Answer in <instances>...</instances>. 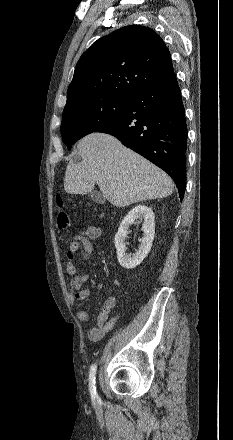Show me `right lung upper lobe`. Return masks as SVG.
Instances as JSON below:
<instances>
[{
    "instance_id": "1",
    "label": "right lung upper lobe",
    "mask_w": 233,
    "mask_h": 440,
    "mask_svg": "<svg viewBox=\"0 0 233 440\" xmlns=\"http://www.w3.org/2000/svg\"><path fill=\"white\" fill-rule=\"evenodd\" d=\"M173 73L162 38L148 27L126 26L98 39L82 54L66 106L90 98L130 99Z\"/></svg>"
}]
</instances>
